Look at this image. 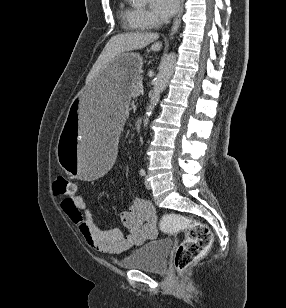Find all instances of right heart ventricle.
<instances>
[{
	"label": "right heart ventricle",
	"mask_w": 286,
	"mask_h": 308,
	"mask_svg": "<svg viewBox=\"0 0 286 308\" xmlns=\"http://www.w3.org/2000/svg\"><path fill=\"white\" fill-rule=\"evenodd\" d=\"M119 16L126 30L140 32L147 29L141 22L140 10L129 6L125 1L119 7Z\"/></svg>",
	"instance_id": "1"
}]
</instances>
